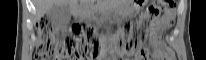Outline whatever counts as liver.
<instances>
[{
    "label": "liver",
    "mask_w": 206,
    "mask_h": 60,
    "mask_svg": "<svg viewBox=\"0 0 206 60\" xmlns=\"http://www.w3.org/2000/svg\"><path fill=\"white\" fill-rule=\"evenodd\" d=\"M73 0H34L36 18L40 19L44 14H46L54 5L60 4L62 2L70 3ZM87 2L94 0H86Z\"/></svg>",
    "instance_id": "liver-1"
}]
</instances>
